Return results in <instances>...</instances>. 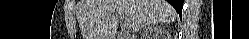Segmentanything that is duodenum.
Instances as JSON below:
<instances>
[{
    "instance_id": "410a0bca",
    "label": "duodenum",
    "mask_w": 249,
    "mask_h": 39,
    "mask_svg": "<svg viewBox=\"0 0 249 39\" xmlns=\"http://www.w3.org/2000/svg\"><path fill=\"white\" fill-rule=\"evenodd\" d=\"M114 38H116V39H123L122 35H116Z\"/></svg>"
}]
</instances>
